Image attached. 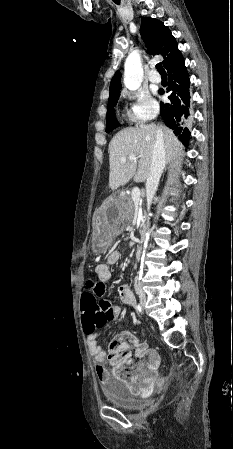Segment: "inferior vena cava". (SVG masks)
<instances>
[{
    "instance_id": "inferior-vena-cava-1",
    "label": "inferior vena cava",
    "mask_w": 233,
    "mask_h": 449,
    "mask_svg": "<svg viewBox=\"0 0 233 449\" xmlns=\"http://www.w3.org/2000/svg\"><path fill=\"white\" fill-rule=\"evenodd\" d=\"M165 160L166 152L163 134L158 133L153 146L151 167L146 181V196L149 205L152 204V200L157 191L159 180L165 166Z\"/></svg>"
}]
</instances>
